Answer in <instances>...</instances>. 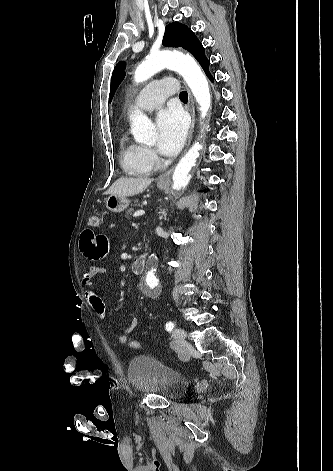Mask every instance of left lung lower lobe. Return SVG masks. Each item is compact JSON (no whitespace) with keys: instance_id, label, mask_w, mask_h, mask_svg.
<instances>
[{"instance_id":"0a47b994","label":"left lung lower lobe","mask_w":333,"mask_h":471,"mask_svg":"<svg viewBox=\"0 0 333 471\" xmlns=\"http://www.w3.org/2000/svg\"><path fill=\"white\" fill-rule=\"evenodd\" d=\"M200 65L202 66V68L204 69L206 75L208 76V78L211 80V82H213V77L212 75L210 74L208 68H209V61L207 58H205L201 63Z\"/></svg>"}]
</instances>
